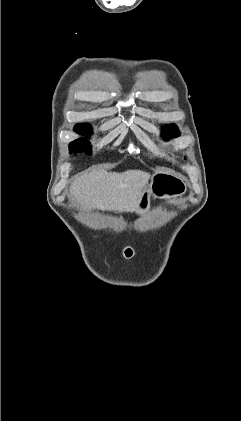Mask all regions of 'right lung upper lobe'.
I'll list each match as a JSON object with an SVG mask.
<instances>
[{"mask_svg":"<svg viewBox=\"0 0 241 421\" xmlns=\"http://www.w3.org/2000/svg\"><path fill=\"white\" fill-rule=\"evenodd\" d=\"M86 126H89V125H87V124H77L75 127H86Z\"/></svg>","mask_w":241,"mask_h":421,"instance_id":"cb5924a9","label":"right lung upper lobe"}]
</instances>
